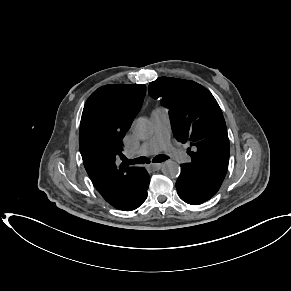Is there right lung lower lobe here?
<instances>
[{"label":"right lung lower lobe","mask_w":291,"mask_h":291,"mask_svg":"<svg viewBox=\"0 0 291 291\" xmlns=\"http://www.w3.org/2000/svg\"><path fill=\"white\" fill-rule=\"evenodd\" d=\"M136 179L135 189L131 197L120 206L115 207L123 211H131L138 208L147 198V189L149 186V175L147 171L140 167L138 168L137 175L134 176Z\"/></svg>","instance_id":"right-lung-lower-lobe-1"}]
</instances>
